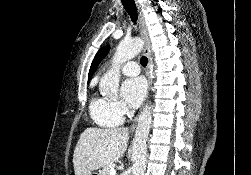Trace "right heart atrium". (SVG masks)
<instances>
[{
    "label": "right heart atrium",
    "instance_id": "1",
    "mask_svg": "<svg viewBox=\"0 0 251 175\" xmlns=\"http://www.w3.org/2000/svg\"><path fill=\"white\" fill-rule=\"evenodd\" d=\"M111 111L114 115V117L119 121L122 122L125 120V118L128 116L129 112L126 109V107L119 103V102H114L111 103Z\"/></svg>",
    "mask_w": 251,
    "mask_h": 175
}]
</instances>
